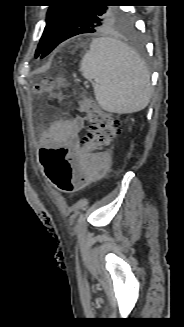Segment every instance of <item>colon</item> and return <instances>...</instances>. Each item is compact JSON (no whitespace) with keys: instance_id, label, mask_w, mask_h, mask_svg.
Wrapping results in <instances>:
<instances>
[{"instance_id":"obj_1","label":"colon","mask_w":184,"mask_h":327,"mask_svg":"<svg viewBox=\"0 0 184 327\" xmlns=\"http://www.w3.org/2000/svg\"><path fill=\"white\" fill-rule=\"evenodd\" d=\"M58 83L63 84L62 81L45 78L34 89L39 94L47 93L54 90ZM79 110L89 126L81 138L78 151L74 154L69 147H44L40 152L46 177L60 192L67 194L82 186L94 165L102 159L100 155L113 144L120 130L119 119L99 108L89 98H81Z\"/></svg>"}]
</instances>
